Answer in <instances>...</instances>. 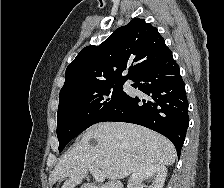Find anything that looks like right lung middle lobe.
Segmentation results:
<instances>
[{
    "label": "right lung middle lobe",
    "mask_w": 224,
    "mask_h": 188,
    "mask_svg": "<svg viewBox=\"0 0 224 188\" xmlns=\"http://www.w3.org/2000/svg\"><path fill=\"white\" fill-rule=\"evenodd\" d=\"M124 82L113 81L60 92L57 112L59 152L74 137L100 122L122 103L127 96L122 87Z\"/></svg>",
    "instance_id": "dd1d6c3e"
}]
</instances>
